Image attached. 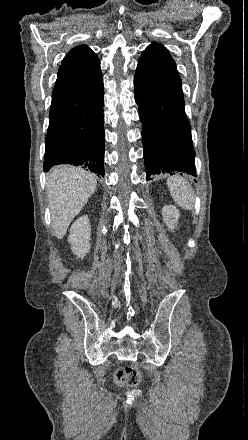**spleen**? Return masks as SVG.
Here are the masks:
<instances>
[{
	"mask_svg": "<svg viewBox=\"0 0 248 440\" xmlns=\"http://www.w3.org/2000/svg\"><path fill=\"white\" fill-rule=\"evenodd\" d=\"M167 185L174 202L186 210H192L195 203V193L189 182L180 176L167 179Z\"/></svg>",
	"mask_w": 248,
	"mask_h": 440,
	"instance_id": "obj_1",
	"label": "spleen"
}]
</instances>
